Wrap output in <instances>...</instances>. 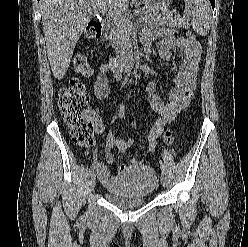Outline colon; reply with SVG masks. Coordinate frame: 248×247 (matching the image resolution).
Here are the masks:
<instances>
[{
    "instance_id": "5ec220e1",
    "label": "colon",
    "mask_w": 248,
    "mask_h": 247,
    "mask_svg": "<svg viewBox=\"0 0 248 247\" xmlns=\"http://www.w3.org/2000/svg\"><path fill=\"white\" fill-rule=\"evenodd\" d=\"M100 35L101 28L98 22H89L85 28V36L88 39H96ZM187 39L195 40L194 34L187 33ZM74 66L76 71L83 76L89 77L93 74V69L86 56L81 53L75 56ZM58 105L73 142L80 147L91 148L94 143L93 123L89 97L84 85L77 79H72L67 86L59 90ZM166 124L164 115L159 114L148 135L147 150L150 154L153 153Z\"/></svg>"
}]
</instances>
